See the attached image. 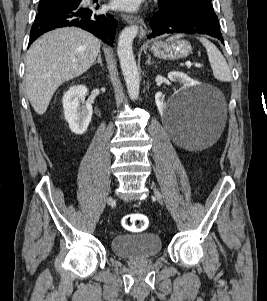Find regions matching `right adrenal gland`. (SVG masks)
I'll use <instances>...</instances> for the list:
<instances>
[{
    "label": "right adrenal gland",
    "mask_w": 267,
    "mask_h": 301,
    "mask_svg": "<svg viewBox=\"0 0 267 301\" xmlns=\"http://www.w3.org/2000/svg\"><path fill=\"white\" fill-rule=\"evenodd\" d=\"M97 63L100 64V66H103L101 52H99L98 59H97L96 62H94V65L97 64Z\"/></svg>",
    "instance_id": "1"
}]
</instances>
